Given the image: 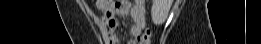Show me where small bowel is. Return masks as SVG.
<instances>
[{
	"instance_id": "obj_1",
	"label": "small bowel",
	"mask_w": 261,
	"mask_h": 44,
	"mask_svg": "<svg viewBox=\"0 0 261 44\" xmlns=\"http://www.w3.org/2000/svg\"><path fill=\"white\" fill-rule=\"evenodd\" d=\"M104 13L103 37L109 44H119L120 39L117 35L119 28L118 16L125 15L129 11L128 6L118 8L116 6H98ZM130 14L133 19V25L130 28V35L132 39L130 44H137L136 39L142 34L145 28V7L144 1L136 0L130 9Z\"/></svg>"
}]
</instances>
